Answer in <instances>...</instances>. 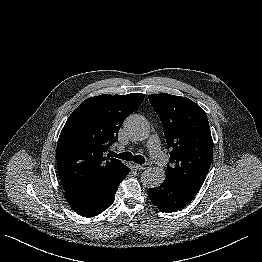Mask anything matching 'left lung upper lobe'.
I'll return each mask as SVG.
<instances>
[{
    "label": "left lung upper lobe",
    "instance_id": "1",
    "mask_svg": "<svg viewBox=\"0 0 262 262\" xmlns=\"http://www.w3.org/2000/svg\"><path fill=\"white\" fill-rule=\"evenodd\" d=\"M171 149L166 177L200 189L213 156V140L203 109L192 100L167 93L148 95Z\"/></svg>",
    "mask_w": 262,
    "mask_h": 262
}]
</instances>
